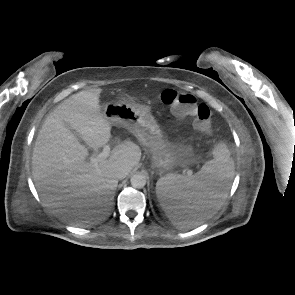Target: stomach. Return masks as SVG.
Here are the masks:
<instances>
[{"label":"stomach","instance_id":"1","mask_svg":"<svg viewBox=\"0 0 295 295\" xmlns=\"http://www.w3.org/2000/svg\"><path fill=\"white\" fill-rule=\"evenodd\" d=\"M113 124L126 127L151 154V166L164 173L177 166L183 158V147L163 138L149 106L126 100L107 103L102 111Z\"/></svg>","mask_w":295,"mask_h":295}]
</instances>
